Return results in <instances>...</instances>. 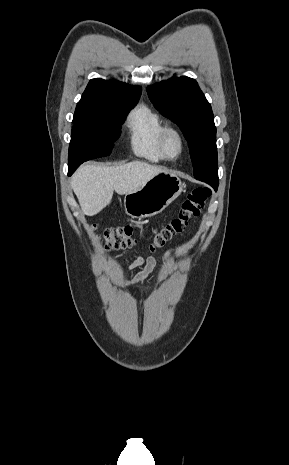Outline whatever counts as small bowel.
I'll return each mask as SVG.
<instances>
[{"label": "small bowel", "instance_id": "c3829d8e", "mask_svg": "<svg viewBox=\"0 0 289 465\" xmlns=\"http://www.w3.org/2000/svg\"><path fill=\"white\" fill-rule=\"evenodd\" d=\"M174 248L171 247L168 250L165 251L164 253V260L168 261L173 253ZM140 266H143V268L132 278L130 279H123L121 278L119 280V283L123 287H130L134 286L143 280H145L150 274L156 273L158 280L161 281L163 279V275L158 269V263L157 260L150 256L147 258H144L142 256L137 257L134 259L131 264L128 265V269L132 270L135 268H138Z\"/></svg>", "mask_w": 289, "mask_h": 465}]
</instances>
